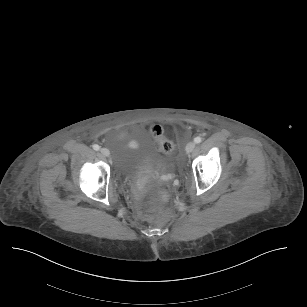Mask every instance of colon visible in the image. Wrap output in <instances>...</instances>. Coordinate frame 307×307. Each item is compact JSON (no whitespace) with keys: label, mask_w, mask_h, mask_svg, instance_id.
<instances>
[{"label":"colon","mask_w":307,"mask_h":307,"mask_svg":"<svg viewBox=\"0 0 307 307\" xmlns=\"http://www.w3.org/2000/svg\"><path fill=\"white\" fill-rule=\"evenodd\" d=\"M152 132L159 141V145L162 151L168 153L174 150L175 144L169 140L160 125L152 127ZM154 202L158 206H165L169 202V194L165 190H158L154 194Z\"/></svg>","instance_id":"1"}]
</instances>
